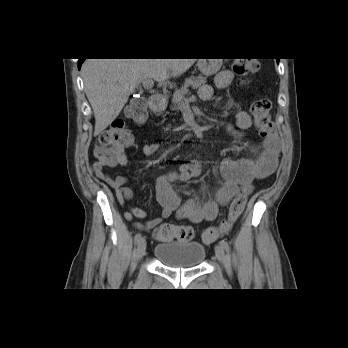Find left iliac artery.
I'll use <instances>...</instances> for the list:
<instances>
[{
	"label": "left iliac artery",
	"mask_w": 348,
	"mask_h": 348,
	"mask_svg": "<svg viewBox=\"0 0 348 348\" xmlns=\"http://www.w3.org/2000/svg\"><path fill=\"white\" fill-rule=\"evenodd\" d=\"M220 245L223 247V249H225L226 251L229 250V245L225 240H221L220 241Z\"/></svg>",
	"instance_id": "44dca946"
}]
</instances>
